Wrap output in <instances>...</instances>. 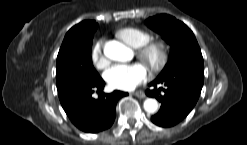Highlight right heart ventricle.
I'll return each instance as SVG.
<instances>
[{"instance_id":"right-heart-ventricle-1","label":"right heart ventricle","mask_w":247,"mask_h":145,"mask_svg":"<svg viewBox=\"0 0 247 145\" xmlns=\"http://www.w3.org/2000/svg\"><path fill=\"white\" fill-rule=\"evenodd\" d=\"M117 36L134 48L144 46L151 39V35L148 32L135 27L122 28L117 31Z\"/></svg>"}]
</instances>
